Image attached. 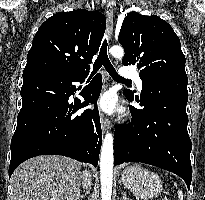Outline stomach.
Instances as JSON below:
<instances>
[{"instance_id":"obj_1","label":"stomach","mask_w":205,"mask_h":200,"mask_svg":"<svg viewBox=\"0 0 205 200\" xmlns=\"http://www.w3.org/2000/svg\"><path fill=\"white\" fill-rule=\"evenodd\" d=\"M124 187L145 200L157 197L163 191L160 177L139 164L126 167L121 173Z\"/></svg>"}]
</instances>
